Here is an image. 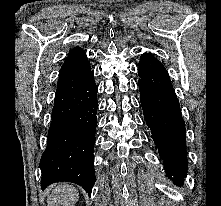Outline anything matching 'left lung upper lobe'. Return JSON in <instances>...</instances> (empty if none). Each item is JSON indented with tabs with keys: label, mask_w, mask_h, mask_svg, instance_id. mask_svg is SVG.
Instances as JSON below:
<instances>
[{
	"label": "left lung upper lobe",
	"mask_w": 221,
	"mask_h": 206,
	"mask_svg": "<svg viewBox=\"0 0 221 206\" xmlns=\"http://www.w3.org/2000/svg\"><path fill=\"white\" fill-rule=\"evenodd\" d=\"M139 69L167 73L164 66L150 53H144L141 55Z\"/></svg>",
	"instance_id": "left-lung-upper-lobe-1"
}]
</instances>
